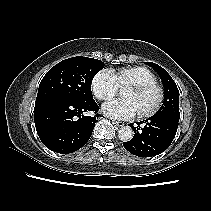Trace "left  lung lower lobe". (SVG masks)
Returning a JSON list of instances; mask_svg holds the SVG:
<instances>
[{
    "label": "left lung lower lobe",
    "instance_id": "1",
    "mask_svg": "<svg viewBox=\"0 0 211 211\" xmlns=\"http://www.w3.org/2000/svg\"><path fill=\"white\" fill-rule=\"evenodd\" d=\"M178 122L166 116L153 115L145 121L138 122V126L133 128L135 134L128 142H123V146L133 155L139 157H151L165 151L173 141ZM144 123L143 127L139 125Z\"/></svg>",
    "mask_w": 211,
    "mask_h": 211
}]
</instances>
